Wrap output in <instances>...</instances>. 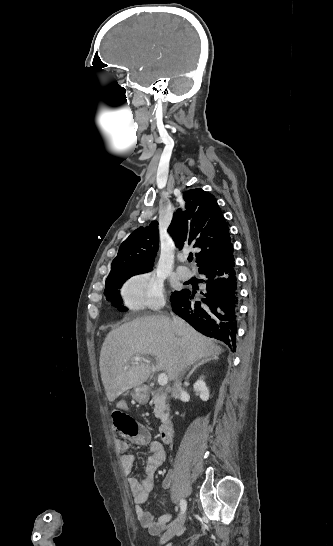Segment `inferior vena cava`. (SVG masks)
Here are the masks:
<instances>
[{
    "label": "inferior vena cava",
    "instance_id": "inferior-vena-cava-1",
    "mask_svg": "<svg viewBox=\"0 0 333 546\" xmlns=\"http://www.w3.org/2000/svg\"><path fill=\"white\" fill-rule=\"evenodd\" d=\"M182 324H183V322L180 319L174 318L172 320V326H173V328L175 330H179L181 328ZM181 392H182L181 381L176 380V382L174 383V388H173L172 394H173L174 397H178Z\"/></svg>",
    "mask_w": 333,
    "mask_h": 546
}]
</instances>
